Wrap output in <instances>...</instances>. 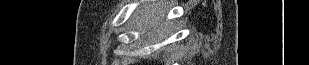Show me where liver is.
Segmentation results:
<instances>
[{
    "instance_id": "1",
    "label": "liver",
    "mask_w": 309,
    "mask_h": 65,
    "mask_svg": "<svg viewBox=\"0 0 309 65\" xmlns=\"http://www.w3.org/2000/svg\"><path fill=\"white\" fill-rule=\"evenodd\" d=\"M166 11V0L144 5L134 15V20L138 22L139 30L148 36L162 34L167 25L162 22Z\"/></svg>"
}]
</instances>
